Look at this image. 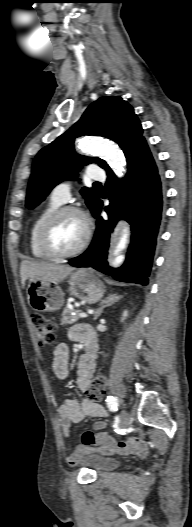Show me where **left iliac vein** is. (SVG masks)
Masks as SVG:
<instances>
[{"mask_svg":"<svg viewBox=\"0 0 192 527\" xmlns=\"http://www.w3.org/2000/svg\"><path fill=\"white\" fill-rule=\"evenodd\" d=\"M129 421H130L129 413L125 409H122L120 411V424H121V427H123V428L127 427V425L129 424Z\"/></svg>","mask_w":192,"mask_h":527,"instance_id":"obj_1","label":"left iliac vein"}]
</instances>
